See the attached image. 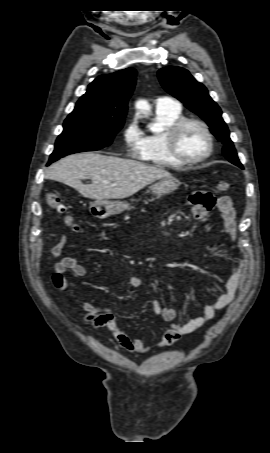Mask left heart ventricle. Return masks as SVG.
Returning <instances> with one entry per match:
<instances>
[{
	"mask_svg": "<svg viewBox=\"0 0 270 453\" xmlns=\"http://www.w3.org/2000/svg\"><path fill=\"white\" fill-rule=\"evenodd\" d=\"M208 141L204 132L196 125H187L178 140L180 153L189 158H197L207 151Z\"/></svg>",
	"mask_w": 270,
	"mask_h": 453,
	"instance_id": "b2bd125f",
	"label": "left heart ventricle"
}]
</instances>
